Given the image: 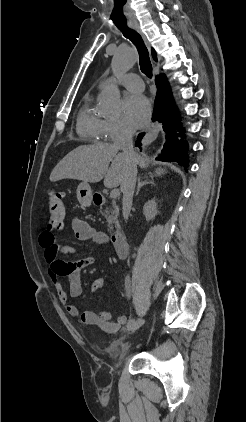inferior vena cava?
<instances>
[{
  "mask_svg": "<svg viewBox=\"0 0 246 422\" xmlns=\"http://www.w3.org/2000/svg\"><path fill=\"white\" fill-rule=\"evenodd\" d=\"M133 135L134 130L132 128L123 126L113 144L114 147L122 150V154L126 157L128 164L127 173L121 185L123 192V217L125 220L128 219L130 214L137 176V155L133 150Z\"/></svg>",
  "mask_w": 246,
  "mask_h": 422,
  "instance_id": "602c4592",
  "label": "inferior vena cava"
}]
</instances>
